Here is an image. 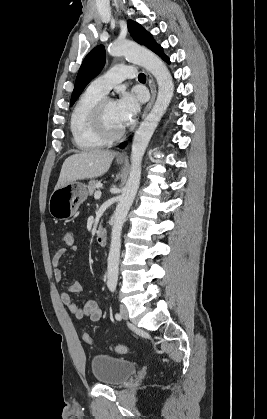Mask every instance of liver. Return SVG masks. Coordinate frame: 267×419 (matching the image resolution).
Returning <instances> with one entry per match:
<instances>
[{
	"mask_svg": "<svg viewBox=\"0 0 267 419\" xmlns=\"http://www.w3.org/2000/svg\"><path fill=\"white\" fill-rule=\"evenodd\" d=\"M115 155L113 151L95 149L69 156L62 165L55 189L76 180L95 178L105 174Z\"/></svg>",
	"mask_w": 267,
	"mask_h": 419,
	"instance_id": "6515ba94",
	"label": "liver"
}]
</instances>
